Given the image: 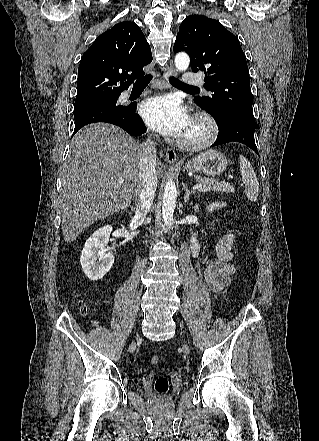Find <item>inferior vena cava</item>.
<instances>
[{"label":"inferior vena cava","instance_id":"obj_1","mask_svg":"<svg viewBox=\"0 0 319 441\" xmlns=\"http://www.w3.org/2000/svg\"><path fill=\"white\" fill-rule=\"evenodd\" d=\"M140 150L139 186L135 197L136 208L133 218L135 222L141 221L147 215L152 206L158 183L156 173V143L148 140L140 145Z\"/></svg>","mask_w":319,"mask_h":441}]
</instances>
